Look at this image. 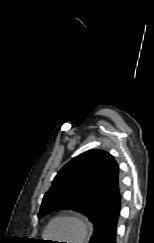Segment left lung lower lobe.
Listing matches in <instances>:
<instances>
[{
    "label": "left lung lower lobe",
    "instance_id": "1",
    "mask_svg": "<svg viewBox=\"0 0 154 243\" xmlns=\"http://www.w3.org/2000/svg\"><path fill=\"white\" fill-rule=\"evenodd\" d=\"M90 199L103 208L102 215L94 223L89 243H117V226L121 210L119 167L109 155L92 184Z\"/></svg>",
    "mask_w": 154,
    "mask_h": 243
}]
</instances>
